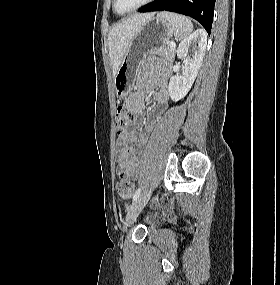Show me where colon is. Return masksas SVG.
I'll return each mask as SVG.
<instances>
[{
    "label": "colon",
    "instance_id": "5ec220e1",
    "mask_svg": "<svg viewBox=\"0 0 280 285\" xmlns=\"http://www.w3.org/2000/svg\"><path fill=\"white\" fill-rule=\"evenodd\" d=\"M135 116L132 110L119 106L115 114V127L118 134L123 133L134 122ZM134 189V184L127 178H121L117 183V193L120 198H129Z\"/></svg>",
    "mask_w": 280,
    "mask_h": 285
}]
</instances>
